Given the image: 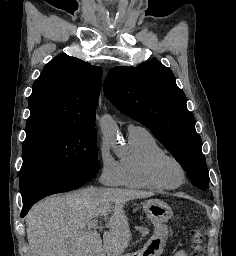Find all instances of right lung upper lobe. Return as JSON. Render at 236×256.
<instances>
[{
    "label": "right lung upper lobe",
    "mask_w": 236,
    "mask_h": 256,
    "mask_svg": "<svg viewBox=\"0 0 236 256\" xmlns=\"http://www.w3.org/2000/svg\"><path fill=\"white\" fill-rule=\"evenodd\" d=\"M102 69L60 54L43 69L29 97L27 123L57 121L95 125Z\"/></svg>",
    "instance_id": "cb5924a9"
}]
</instances>
